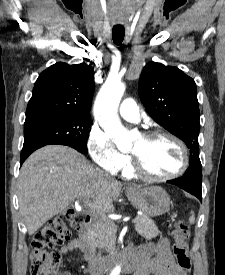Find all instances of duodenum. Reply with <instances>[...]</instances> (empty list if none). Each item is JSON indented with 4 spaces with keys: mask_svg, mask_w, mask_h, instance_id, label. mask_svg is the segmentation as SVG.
Segmentation results:
<instances>
[{
    "mask_svg": "<svg viewBox=\"0 0 225 275\" xmlns=\"http://www.w3.org/2000/svg\"><path fill=\"white\" fill-rule=\"evenodd\" d=\"M85 214H87L83 209L81 210ZM88 215V214H87ZM92 232V227H91V218L88 215V219L83 222L81 226V236H82V245L86 250V260L88 263V268L89 270L94 274V275H102L105 272V265H104V258L96 256L91 249V244L89 241V235ZM107 265H110V262H108ZM139 266V262L135 260L133 257L125 261L124 263V270L125 271H132L136 269Z\"/></svg>",
    "mask_w": 225,
    "mask_h": 275,
    "instance_id": "410a0bca",
    "label": "duodenum"
}]
</instances>
